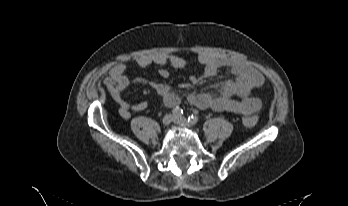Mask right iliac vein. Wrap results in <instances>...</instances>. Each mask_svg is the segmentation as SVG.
<instances>
[{
	"mask_svg": "<svg viewBox=\"0 0 348 206\" xmlns=\"http://www.w3.org/2000/svg\"><path fill=\"white\" fill-rule=\"evenodd\" d=\"M174 120L171 114H167L163 117L162 122L164 125H169Z\"/></svg>",
	"mask_w": 348,
	"mask_h": 206,
	"instance_id": "obj_1",
	"label": "right iliac vein"
}]
</instances>
